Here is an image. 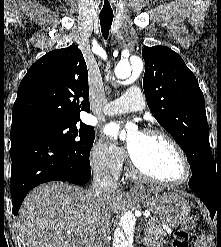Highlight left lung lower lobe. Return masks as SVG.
<instances>
[{
  "instance_id": "1",
  "label": "left lung lower lobe",
  "mask_w": 221,
  "mask_h": 247,
  "mask_svg": "<svg viewBox=\"0 0 221 247\" xmlns=\"http://www.w3.org/2000/svg\"><path fill=\"white\" fill-rule=\"evenodd\" d=\"M189 187L209 209L211 218L221 209V165L214 159L206 161L199 169L192 171Z\"/></svg>"
}]
</instances>
